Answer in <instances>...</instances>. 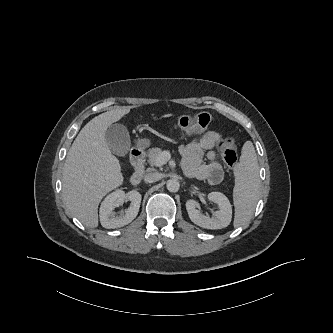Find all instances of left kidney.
I'll use <instances>...</instances> for the list:
<instances>
[{
  "label": "left kidney",
  "mask_w": 333,
  "mask_h": 333,
  "mask_svg": "<svg viewBox=\"0 0 333 333\" xmlns=\"http://www.w3.org/2000/svg\"><path fill=\"white\" fill-rule=\"evenodd\" d=\"M208 199L218 205V210L213 213L212 217L201 214L196 209L194 200L186 202V209L191 221L206 229H222L227 227L232 219V207L228 198L221 192H211Z\"/></svg>",
  "instance_id": "5707ae66"
}]
</instances>
